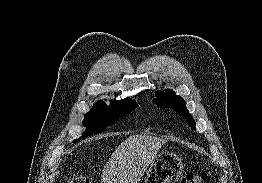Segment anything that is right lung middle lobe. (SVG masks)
<instances>
[{"instance_id": "1", "label": "right lung middle lobe", "mask_w": 262, "mask_h": 183, "mask_svg": "<svg viewBox=\"0 0 262 183\" xmlns=\"http://www.w3.org/2000/svg\"><path fill=\"white\" fill-rule=\"evenodd\" d=\"M137 107L136 102L127 101L106 106L102 102L96 104L84 116L83 124L87 127L82 137L102 132L107 126L116 122L120 117L131 113ZM79 139L74 140L76 143Z\"/></svg>"}]
</instances>
